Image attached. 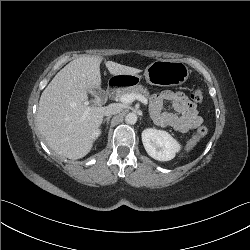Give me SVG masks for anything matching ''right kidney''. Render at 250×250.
I'll use <instances>...</instances> for the list:
<instances>
[{
	"label": "right kidney",
	"instance_id": "obj_1",
	"mask_svg": "<svg viewBox=\"0 0 250 250\" xmlns=\"http://www.w3.org/2000/svg\"><path fill=\"white\" fill-rule=\"evenodd\" d=\"M99 133H100L99 130H97V131L94 133V139L97 138V137L99 136Z\"/></svg>",
	"mask_w": 250,
	"mask_h": 250
}]
</instances>
